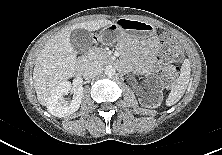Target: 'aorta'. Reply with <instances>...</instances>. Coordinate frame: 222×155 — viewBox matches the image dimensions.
<instances>
[{"mask_svg": "<svg viewBox=\"0 0 222 155\" xmlns=\"http://www.w3.org/2000/svg\"><path fill=\"white\" fill-rule=\"evenodd\" d=\"M104 72L107 76L111 77V76L115 75L116 71L113 66L109 65V66L105 67Z\"/></svg>", "mask_w": 222, "mask_h": 155, "instance_id": "1", "label": "aorta"}]
</instances>
